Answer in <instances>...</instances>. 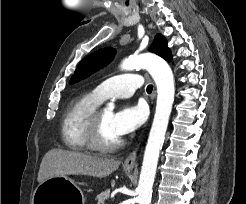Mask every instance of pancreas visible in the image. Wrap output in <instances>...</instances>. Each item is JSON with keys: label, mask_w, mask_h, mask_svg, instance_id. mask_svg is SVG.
<instances>
[{"label": "pancreas", "mask_w": 246, "mask_h": 204, "mask_svg": "<svg viewBox=\"0 0 246 204\" xmlns=\"http://www.w3.org/2000/svg\"><path fill=\"white\" fill-rule=\"evenodd\" d=\"M110 196V190H106L99 195L96 196L95 200L97 201V204H105V201L109 199Z\"/></svg>", "instance_id": "obj_1"}]
</instances>
